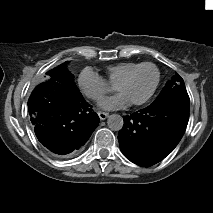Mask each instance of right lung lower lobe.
Wrapping results in <instances>:
<instances>
[{
    "instance_id": "obj_1",
    "label": "right lung lower lobe",
    "mask_w": 213,
    "mask_h": 213,
    "mask_svg": "<svg viewBox=\"0 0 213 213\" xmlns=\"http://www.w3.org/2000/svg\"><path fill=\"white\" fill-rule=\"evenodd\" d=\"M28 111L39 141L64 157L84 145L100 122L76 88L56 80L33 90Z\"/></svg>"
}]
</instances>
